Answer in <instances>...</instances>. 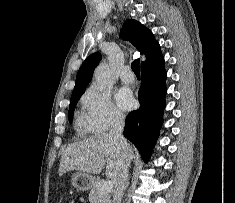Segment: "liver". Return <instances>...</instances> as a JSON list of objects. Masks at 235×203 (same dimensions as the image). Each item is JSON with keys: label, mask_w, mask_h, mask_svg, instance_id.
Here are the masks:
<instances>
[{"label": "liver", "mask_w": 235, "mask_h": 203, "mask_svg": "<svg viewBox=\"0 0 235 203\" xmlns=\"http://www.w3.org/2000/svg\"><path fill=\"white\" fill-rule=\"evenodd\" d=\"M129 146L130 161L135 156V148ZM125 160L119 142L108 133H100L70 144L63 152L59 166V176L77 170L87 174H99L107 162L106 176L115 184Z\"/></svg>", "instance_id": "liver-1"}]
</instances>
